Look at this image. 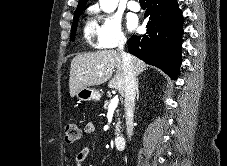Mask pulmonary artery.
<instances>
[{
	"instance_id": "obj_1",
	"label": "pulmonary artery",
	"mask_w": 227,
	"mask_h": 166,
	"mask_svg": "<svg viewBox=\"0 0 227 166\" xmlns=\"http://www.w3.org/2000/svg\"><path fill=\"white\" fill-rule=\"evenodd\" d=\"M128 8L131 11L138 12L140 10V4L138 0H129L128 1Z\"/></svg>"
}]
</instances>
